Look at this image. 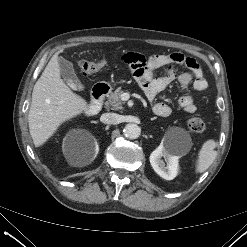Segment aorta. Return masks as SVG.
I'll list each match as a JSON object with an SVG mask.
<instances>
[{"mask_svg": "<svg viewBox=\"0 0 247 247\" xmlns=\"http://www.w3.org/2000/svg\"><path fill=\"white\" fill-rule=\"evenodd\" d=\"M141 129L137 124H127L123 129V134L126 138L136 139L140 136Z\"/></svg>", "mask_w": 247, "mask_h": 247, "instance_id": "obj_1", "label": "aorta"}]
</instances>
